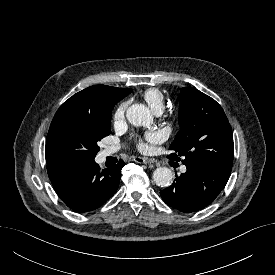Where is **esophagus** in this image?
I'll return each instance as SVG.
<instances>
[{
	"mask_svg": "<svg viewBox=\"0 0 275 275\" xmlns=\"http://www.w3.org/2000/svg\"><path fill=\"white\" fill-rule=\"evenodd\" d=\"M134 161L137 163H144V164H148V163H153L154 160L150 159V158H146V157H135Z\"/></svg>",
	"mask_w": 275,
	"mask_h": 275,
	"instance_id": "esophagus-1",
	"label": "esophagus"
}]
</instances>
